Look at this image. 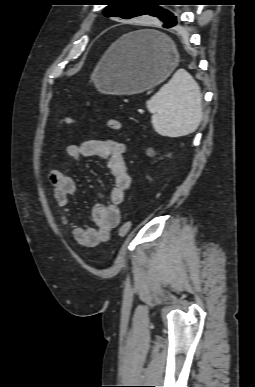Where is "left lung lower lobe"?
Listing matches in <instances>:
<instances>
[{
  "instance_id": "obj_1",
  "label": "left lung lower lobe",
  "mask_w": 255,
  "mask_h": 387,
  "mask_svg": "<svg viewBox=\"0 0 255 387\" xmlns=\"http://www.w3.org/2000/svg\"><path fill=\"white\" fill-rule=\"evenodd\" d=\"M149 14L151 15V13H149ZM176 24H177V19L175 18L168 23H164V27L171 28V27H174Z\"/></svg>"
}]
</instances>
